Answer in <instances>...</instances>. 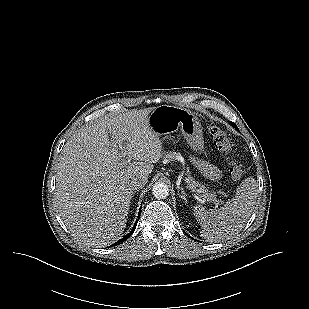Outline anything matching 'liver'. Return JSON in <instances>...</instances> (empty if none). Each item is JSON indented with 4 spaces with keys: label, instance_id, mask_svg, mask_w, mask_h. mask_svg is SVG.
Here are the masks:
<instances>
[{
    "label": "liver",
    "instance_id": "obj_1",
    "mask_svg": "<svg viewBox=\"0 0 309 309\" xmlns=\"http://www.w3.org/2000/svg\"><path fill=\"white\" fill-rule=\"evenodd\" d=\"M149 112L95 121L65 144L56 168L55 206L77 240L104 247L123 233L134 194L130 180L148 179L163 155L159 136L147 125Z\"/></svg>",
    "mask_w": 309,
    "mask_h": 309
}]
</instances>
